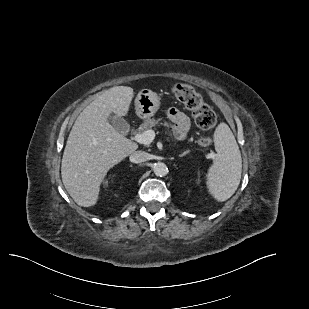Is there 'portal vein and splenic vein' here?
<instances>
[{"mask_svg":"<svg viewBox=\"0 0 309 309\" xmlns=\"http://www.w3.org/2000/svg\"><path fill=\"white\" fill-rule=\"evenodd\" d=\"M155 138V132L154 130L150 129V130H147L143 133H137L135 136H134V139L140 143V144H144V145H148L150 144Z\"/></svg>","mask_w":309,"mask_h":309,"instance_id":"obj_1","label":"portal vein and splenic vein"}]
</instances>
